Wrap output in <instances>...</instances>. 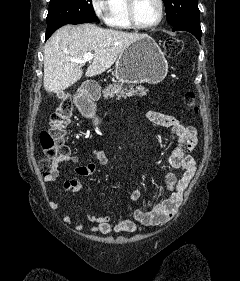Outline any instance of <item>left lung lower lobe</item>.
I'll list each match as a JSON object with an SVG mask.
<instances>
[{
    "label": "left lung lower lobe",
    "instance_id": "0a47b994",
    "mask_svg": "<svg viewBox=\"0 0 240 281\" xmlns=\"http://www.w3.org/2000/svg\"><path fill=\"white\" fill-rule=\"evenodd\" d=\"M176 30L188 31L192 33L199 40V42H201L202 31H201L200 24L182 23L173 26V31Z\"/></svg>",
    "mask_w": 240,
    "mask_h": 281
}]
</instances>
